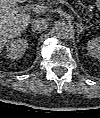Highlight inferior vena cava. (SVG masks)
I'll return each mask as SVG.
<instances>
[{
    "label": "inferior vena cava",
    "mask_w": 100,
    "mask_h": 118,
    "mask_svg": "<svg viewBox=\"0 0 100 118\" xmlns=\"http://www.w3.org/2000/svg\"><path fill=\"white\" fill-rule=\"evenodd\" d=\"M31 24L33 29L37 31H45L48 28V21L45 18H34Z\"/></svg>",
    "instance_id": "inferior-vena-cava-1"
}]
</instances>
